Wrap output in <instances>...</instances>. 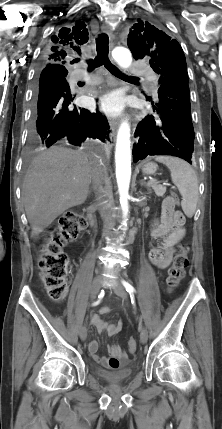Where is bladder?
Here are the masks:
<instances>
[{
  "label": "bladder",
  "instance_id": "1",
  "mask_svg": "<svg viewBox=\"0 0 222 429\" xmlns=\"http://www.w3.org/2000/svg\"><path fill=\"white\" fill-rule=\"evenodd\" d=\"M135 367V364H131L128 367L120 368L115 371L97 367L94 369V374L106 382L121 383L127 381L132 376Z\"/></svg>",
  "mask_w": 222,
  "mask_h": 429
}]
</instances>
